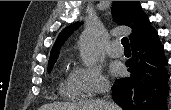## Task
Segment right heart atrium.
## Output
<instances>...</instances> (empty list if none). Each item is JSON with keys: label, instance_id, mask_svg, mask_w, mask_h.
I'll list each match as a JSON object with an SVG mask.
<instances>
[{"label": "right heart atrium", "instance_id": "obj_1", "mask_svg": "<svg viewBox=\"0 0 171 110\" xmlns=\"http://www.w3.org/2000/svg\"><path fill=\"white\" fill-rule=\"evenodd\" d=\"M73 76L79 83L83 96L91 97L105 90L109 82L97 66L78 67Z\"/></svg>", "mask_w": 171, "mask_h": 110}]
</instances>
